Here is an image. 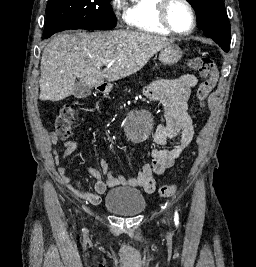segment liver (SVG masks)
Returning <instances> with one entry per match:
<instances>
[{"label": "liver", "instance_id": "1", "mask_svg": "<svg viewBox=\"0 0 256 267\" xmlns=\"http://www.w3.org/2000/svg\"><path fill=\"white\" fill-rule=\"evenodd\" d=\"M172 42L165 36L131 30L58 34L43 50L39 100H65L73 94L76 78L85 86H102L104 80L116 82L136 74ZM107 60L108 64H99Z\"/></svg>", "mask_w": 256, "mask_h": 267}]
</instances>
